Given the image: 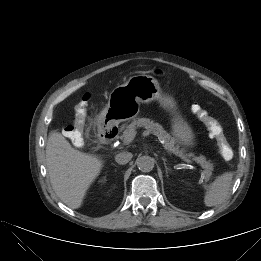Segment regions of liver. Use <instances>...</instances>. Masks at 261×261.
Listing matches in <instances>:
<instances>
[{
  "mask_svg": "<svg viewBox=\"0 0 261 261\" xmlns=\"http://www.w3.org/2000/svg\"><path fill=\"white\" fill-rule=\"evenodd\" d=\"M46 165L57 196L70 208L78 209L100 174L103 161L76 150L60 133H52L46 145Z\"/></svg>",
  "mask_w": 261,
  "mask_h": 261,
  "instance_id": "obj_1",
  "label": "liver"
}]
</instances>
